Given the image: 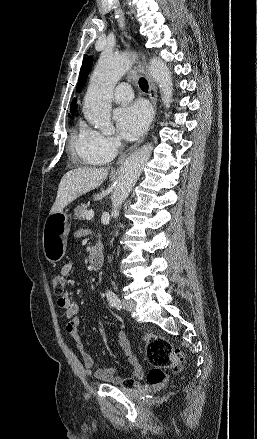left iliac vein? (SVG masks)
<instances>
[{"mask_svg":"<svg viewBox=\"0 0 257 439\" xmlns=\"http://www.w3.org/2000/svg\"><path fill=\"white\" fill-rule=\"evenodd\" d=\"M122 306L127 311H134L136 307V302L133 300H122Z\"/></svg>","mask_w":257,"mask_h":439,"instance_id":"4c4485c4","label":"left iliac vein"}]
</instances>
